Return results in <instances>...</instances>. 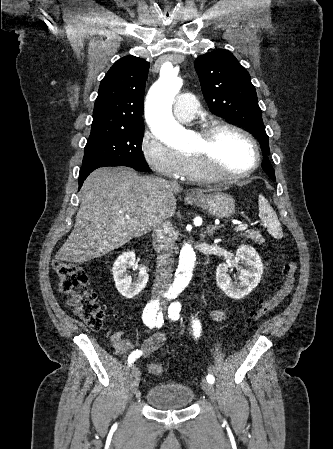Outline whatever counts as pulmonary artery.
Returning <instances> with one entry per match:
<instances>
[{
	"label": "pulmonary artery",
	"mask_w": 333,
	"mask_h": 449,
	"mask_svg": "<svg viewBox=\"0 0 333 449\" xmlns=\"http://www.w3.org/2000/svg\"><path fill=\"white\" fill-rule=\"evenodd\" d=\"M173 113L181 122H190L197 113V100L191 93L181 94L173 107Z\"/></svg>",
	"instance_id": "obj_1"
}]
</instances>
